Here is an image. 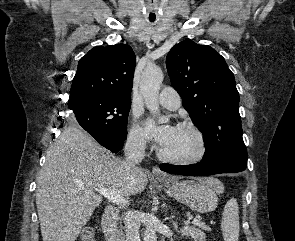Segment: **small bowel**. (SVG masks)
<instances>
[{
	"mask_svg": "<svg viewBox=\"0 0 295 241\" xmlns=\"http://www.w3.org/2000/svg\"><path fill=\"white\" fill-rule=\"evenodd\" d=\"M183 234L190 236L194 241H204L203 234L195 229H184Z\"/></svg>",
	"mask_w": 295,
	"mask_h": 241,
	"instance_id": "obj_1",
	"label": "small bowel"
}]
</instances>
